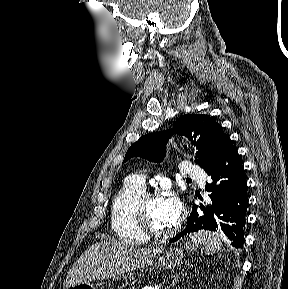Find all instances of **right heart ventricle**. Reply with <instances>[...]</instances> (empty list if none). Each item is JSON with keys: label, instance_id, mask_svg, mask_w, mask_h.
Here are the masks:
<instances>
[{"label": "right heart ventricle", "instance_id": "obj_1", "mask_svg": "<svg viewBox=\"0 0 288 289\" xmlns=\"http://www.w3.org/2000/svg\"><path fill=\"white\" fill-rule=\"evenodd\" d=\"M144 187L127 179L113 196L110 210V225L114 236L128 245H141L147 236L139 232L133 224L132 207Z\"/></svg>", "mask_w": 288, "mask_h": 289}]
</instances>
